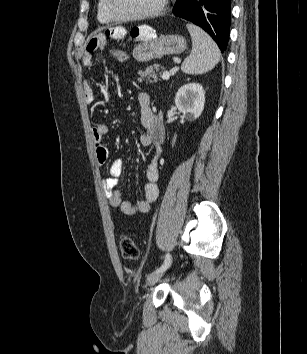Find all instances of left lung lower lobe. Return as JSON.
Listing matches in <instances>:
<instances>
[{"label":"left lung lower lobe","instance_id":"0a47b994","mask_svg":"<svg viewBox=\"0 0 307 354\" xmlns=\"http://www.w3.org/2000/svg\"><path fill=\"white\" fill-rule=\"evenodd\" d=\"M173 13L204 29L226 50L231 24V0H176Z\"/></svg>","mask_w":307,"mask_h":354}]
</instances>
